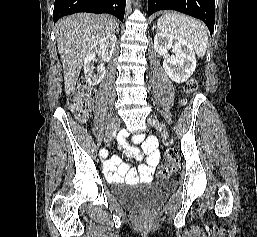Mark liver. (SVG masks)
Instances as JSON below:
<instances>
[{"label":"liver","instance_id":"obj_1","mask_svg":"<svg viewBox=\"0 0 257 237\" xmlns=\"http://www.w3.org/2000/svg\"><path fill=\"white\" fill-rule=\"evenodd\" d=\"M117 28L116 20L109 15L77 13L59 20L56 36L66 95L74 91L90 47L103 37L114 34Z\"/></svg>","mask_w":257,"mask_h":237}]
</instances>
